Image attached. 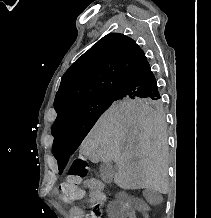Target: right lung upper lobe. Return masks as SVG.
<instances>
[{"instance_id": "1", "label": "right lung upper lobe", "mask_w": 211, "mask_h": 218, "mask_svg": "<svg viewBox=\"0 0 211 218\" xmlns=\"http://www.w3.org/2000/svg\"><path fill=\"white\" fill-rule=\"evenodd\" d=\"M146 61L144 52L131 38L119 33L104 36L63 75L54 100L57 117L86 100L117 93Z\"/></svg>"}]
</instances>
